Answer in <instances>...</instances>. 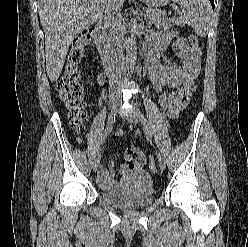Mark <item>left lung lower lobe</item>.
<instances>
[{
  "label": "left lung lower lobe",
  "mask_w": 248,
  "mask_h": 247,
  "mask_svg": "<svg viewBox=\"0 0 248 247\" xmlns=\"http://www.w3.org/2000/svg\"><path fill=\"white\" fill-rule=\"evenodd\" d=\"M212 7L214 8V0H210Z\"/></svg>",
  "instance_id": "obj_1"
}]
</instances>
